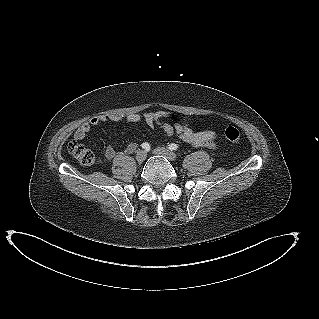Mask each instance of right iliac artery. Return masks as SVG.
<instances>
[{
	"label": "right iliac artery",
	"mask_w": 319,
	"mask_h": 319,
	"mask_svg": "<svg viewBox=\"0 0 319 319\" xmlns=\"http://www.w3.org/2000/svg\"><path fill=\"white\" fill-rule=\"evenodd\" d=\"M141 147H142L143 149H145V150H149V149H150V144L147 143V142H145V143H142V144H141Z\"/></svg>",
	"instance_id": "right-iliac-artery-1"
}]
</instances>
